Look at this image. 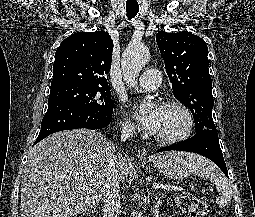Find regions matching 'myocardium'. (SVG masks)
<instances>
[{"label": "myocardium", "instance_id": "myocardium-1", "mask_svg": "<svg viewBox=\"0 0 255 217\" xmlns=\"http://www.w3.org/2000/svg\"><path fill=\"white\" fill-rule=\"evenodd\" d=\"M162 107L179 109L185 116L186 121H185V126L180 132L174 135H169V136L157 135L156 140L162 144H174L188 138L194 128V116L191 110L189 109V107L183 102L176 99H172V100H168L164 102Z\"/></svg>", "mask_w": 255, "mask_h": 217}]
</instances>
